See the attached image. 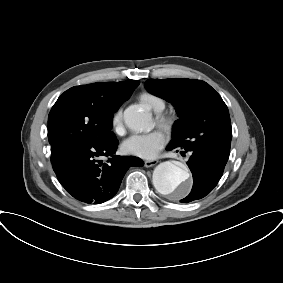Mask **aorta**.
I'll use <instances>...</instances> for the list:
<instances>
[{
	"mask_svg": "<svg viewBox=\"0 0 283 283\" xmlns=\"http://www.w3.org/2000/svg\"><path fill=\"white\" fill-rule=\"evenodd\" d=\"M126 125L134 131H143L151 127V115L137 106H129L124 111ZM189 172L173 162L160 163L153 172V185L162 195L181 198L190 189Z\"/></svg>",
	"mask_w": 283,
	"mask_h": 283,
	"instance_id": "obj_1",
	"label": "aorta"
}]
</instances>
